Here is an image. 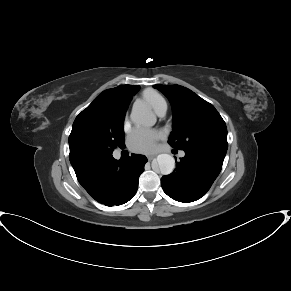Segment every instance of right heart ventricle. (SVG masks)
Listing matches in <instances>:
<instances>
[{"mask_svg": "<svg viewBox=\"0 0 291 291\" xmlns=\"http://www.w3.org/2000/svg\"><path fill=\"white\" fill-rule=\"evenodd\" d=\"M143 98L156 112H158L161 107L166 105L165 99L153 89H146L143 92Z\"/></svg>", "mask_w": 291, "mask_h": 291, "instance_id": "right-heart-ventricle-1", "label": "right heart ventricle"}]
</instances>
